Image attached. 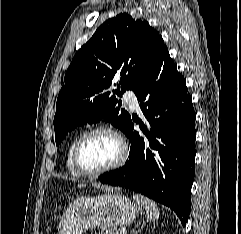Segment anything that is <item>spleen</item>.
Masks as SVG:
<instances>
[{
	"instance_id": "obj_1",
	"label": "spleen",
	"mask_w": 241,
	"mask_h": 234,
	"mask_svg": "<svg viewBox=\"0 0 241 234\" xmlns=\"http://www.w3.org/2000/svg\"><path fill=\"white\" fill-rule=\"evenodd\" d=\"M133 198L141 207L145 208L147 217L150 221H155L159 218V208L154 201L142 195H133Z\"/></svg>"
}]
</instances>
